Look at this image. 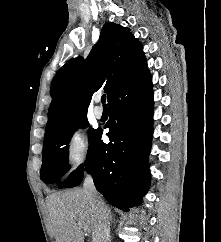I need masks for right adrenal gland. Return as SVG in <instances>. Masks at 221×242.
<instances>
[{
	"label": "right adrenal gland",
	"instance_id": "obj_1",
	"mask_svg": "<svg viewBox=\"0 0 221 242\" xmlns=\"http://www.w3.org/2000/svg\"><path fill=\"white\" fill-rule=\"evenodd\" d=\"M109 217H110V221L112 220V215H111V212L109 210Z\"/></svg>",
	"mask_w": 221,
	"mask_h": 242
}]
</instances>
